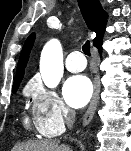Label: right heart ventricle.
Masks as SVG:
<instances>
[{
  "instance_id": "right-heart-ventricle-1",
  "label": "right heart ventricle",
  "mask_w": 131,
  "mask_h": 151,
  "mask_svg": "<svg viewBox=\"0 0 131 151\" xmlns=\"http://www.w3.org/2000/svg\"><path fill=\"white\" fill-rule=\"evenodd\" d=\"M24 123H25L26 126H29V123H30V122H29V119H28L27 117H25Z\"/></svg>"
}]
</instances>
